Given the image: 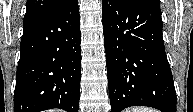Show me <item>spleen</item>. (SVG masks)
<instances>
[{
	"instance_id": "spleen-1",
	"label": "spleen",
	"mask_w": 193,
	"mask_h": 112,
	"mask_svg": "<svg viewBox=\"0 0 193 112\" xmlns=\"http://www.w3.org/2000/svg\"><path fill=\"white\" fill-rule=\"evenodd\" d=\"M126 112H156V110L147 107H133Z\"/></svg>"
}]
</instances>
